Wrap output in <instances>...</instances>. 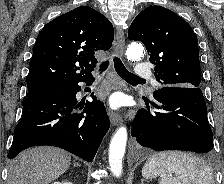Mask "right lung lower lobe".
Masks as SVG:
<instances>
[{
    "label": "right lung lower lobe",
    "instance_id": "1",
    "mask_svg": "<svg viewBox=\"0 0 224 184\" xmlns=\"http://www.w3.org/2000/svg\"><path fill=\"white\" fill-rule=\"evenodd\" d=\"M94 78L70 81L29 94L23 102V115L14 130L8 158L32 146L50 145L68 150L92 162L110 122L104 104L91 94L82 112L76 93L79 82L90 85Z\"/></svg>",
    "mask_w": 224,
    "mask_h": 184
}]
</instances>
